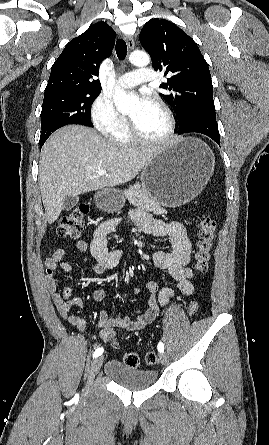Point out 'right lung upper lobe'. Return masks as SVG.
Segmentation results:
<instances>
[{
  "label": "right lung upper lobe",
  "mask_w": 269,
  "mask_h": 445,
  "mask_svg": "<svg viewBox=\"0 0 269 445\" xmlns=\"http://www.w3.org/2000/svg\"><path fill=\"white\" fill-rule=\"evenodd\" d=\"M115 31L105 22L91 25L72 39L52 66L45 93L55 91L101 92L100 63L115 43Z\"/></svg>",
  "instance_id": "cb5924a9"
}]
</instances>
